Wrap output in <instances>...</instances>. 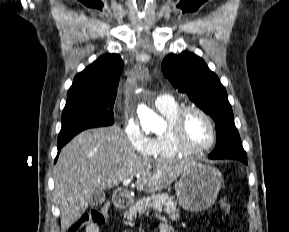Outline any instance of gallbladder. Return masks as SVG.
<instances>
[{
  "instance_id": "gallbladder-1",
  "label": "gallbladder",
  "mask_w": 289,
  "mask_h": 232,
  "mask_svg": "<svg viewBox=\"0 0 289 232\" xmlns=\"http://www.w3.org/2000/svg\"><path fill=\"white\" fill-rule=\"evenodd\" d=\"M105 199H106V195L103 191H96L91 197L90 204L93 206H98V205L103 204Z\"/></svg>"
}]
</instances>
